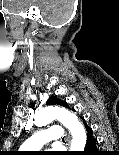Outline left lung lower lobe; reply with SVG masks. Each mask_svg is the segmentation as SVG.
Wrapping results in <instances>:
<instances>
[{
	"instance_id": "1",
	"label": "left lung lower lobe",
	"mask_w": 119,
	"mask_h": 155,
	"mask_svg": "<svg viewBox=\"0 0 119 155\" xmlns=\"http://www.w3.org/2000/svg\"><path fill=\"white\" fill-rule=\"evenodd\" d=\"M82 120L84 122L85 128H86V147L84 152L81 153V155H99L97 150V140L93 135V130L91 127H89L85 119L82 117Z\"/></svg>"
}]
</instances>
